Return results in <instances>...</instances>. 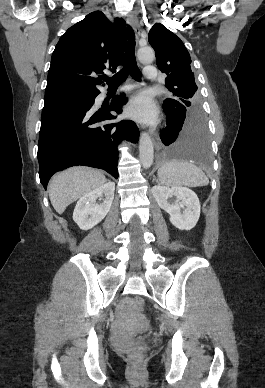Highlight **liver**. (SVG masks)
Masks as SVG:
<instances>
[{"instance_id":"1","label":"liver","mask_w":265,"mask_h":388,"mask_svg":"<svg viewBox=\"0 0 265 388\" xmlns=\"http://www.w3.org/2000/svg\"><path fill=\"white\" fill-rule=\"evenodd\" d=\"M107 182L104 174L92 168H69L51 178L48 184L50 202L57 214L67 206Z\"/></svg>"}]
</instances>
